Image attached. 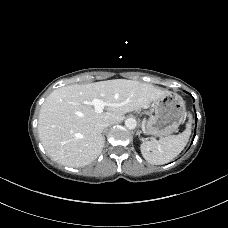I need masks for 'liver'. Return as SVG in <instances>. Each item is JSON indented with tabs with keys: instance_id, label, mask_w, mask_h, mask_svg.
Segmentation results:
<instances>
[{
	"instance_id": "1",
	"label": "liver",
	"mask_w": 228,
	"mask_h": 228,
	"mask_svg": "<svg viewBox=\"0 0 228 228\" xmlns=\"http://www.w3.org/2000/svg\"><path fill=\"white\" fill-rule=\"evenodd\" d=\"M168 92L149 83L126 79L58 88L41 106L40 141L53 160L75 168L86 166L104 147L105 138L96 129L97 123H119L126 113L145 108ZM95 98L107 103L106 111L96 113L94 106L88 104Z\"/></svg>"
}]
</instances>
